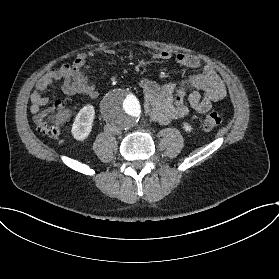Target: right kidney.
<instances>
[{"mask_svg": "<svg viewBox=\"0 0 279 279\" xmlns=\"http://www.w3.org/2000/svg\"><path fill=\"white\" fill-rule=\"evenodd\" d=\"M95 110L92 105L84 106L76 115L72 125V135L78 141L85 140L92 130Z\"/></svg>", "mask_w": 279, "mask_h": 279, "instance_id": "right-kidney-1", "label": "right kidney"}]
</instances>
